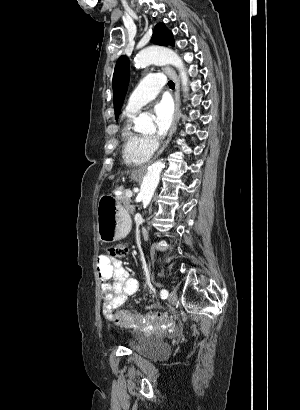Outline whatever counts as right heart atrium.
Wrapping results in <instances>:
<instances>
[{
	"label": "right heart atrium",
	"mask_w": 300,
	"mask_h": 410,
	"mask_svg": "<svg viewBox=\"0 0 300 410\" xmlns=\"http://www.w3.org/2000/svg\"><path fill=\"white\" fill-rule=\"evenodd\" d=\"M145 143H146V146H147L150 150H153V149L155 148V146H156L155 141H154L151 137H146V138H145Z\"/></svg>",
	"instance_id": "d8ad5b80"
}]
</instances>
